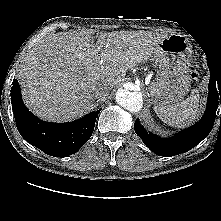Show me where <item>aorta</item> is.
<instances>
[{
  "mask_svg": "<svg viewBox=\"0 0 221 221\" xmlns=\"http://www.w3.org/2000/svg\"><path fill=\"white\" fill-rule=\"evenodd\" d=\"M117 103L130 112H138L142 108V95L139 92H131L119 89L116 93Z\"/></svg>",
  "mask_w": 221,
  "mask_h": 221,
  "instance_id": "1",
  "label": "aorta"
}]
</instances>
